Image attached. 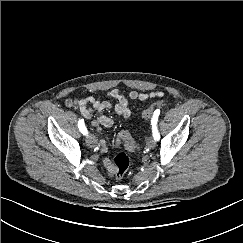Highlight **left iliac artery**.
Returning <instances> with one entry per match:
<instances>
[{
  "instance_id": "44dca946",
  "label": "left iliac artery",
  "mask_w": 243,
  "mask_h": 243,
  "mask_svg": "<svg viewBox=\"0 0 243 243\" xmlns=\"http://www.w3.org/2000/svg\"><path fill=\"white\" fill-rule=\"evenodd\" d=\"M160 114V110L155 111V114L153 115L151 119V125H152V134L155 140L160 139V135L157 129V121H158V116Z\"/></svg>"
}]
</instances>
